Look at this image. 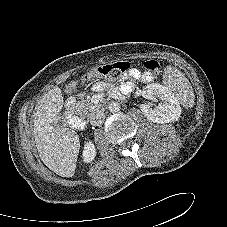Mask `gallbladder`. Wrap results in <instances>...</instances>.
I'll return each instance as SVG.
<instances>
[{"instance_id":"1","label":"gallbladder","mask_w":227,"mask_h":227,"mask_svg":"<svg viewBox=\"0 0 227 227\" xmlns=\"http://www.w3.org/2000/svg\"><path fill=\"white\" fill-rule=\"evenodd\" d=\"M53 125L55 127L57 126L64 127L66 125V122L62 117H59V119Z\"/></svg>"}]
</instances>
